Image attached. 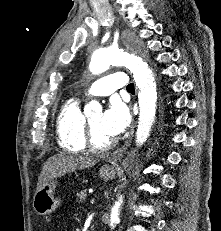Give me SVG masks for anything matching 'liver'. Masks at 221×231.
Listing matches in <instances>:
<instances>
[{"mask_svg":"<svg viewBox=\"0 0 221 231\" xmlns=\"http://www.w3.org/2000/svg\"><path fill=\"white\" fill-rule=\"evenodd\" d=\"M97 162L98 159L93 157L78 156L64 152L54 155L44 164L38 178L36 191L50 180L61 177L68 172L94 166Z\"/></svg>","mask_w":221,"mask_h":231,"instance_id":"1","label":"liver"}]
</instances>
